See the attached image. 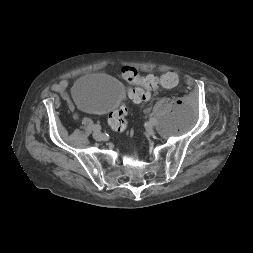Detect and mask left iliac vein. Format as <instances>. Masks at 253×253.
Returning <instances> with one entry per match:
<instances>
[{
	"instance_id": "left-iliac-vein-1",
	"label": "left iliac vein",
	"mask_w": 253,
	"mask_h": 253,
	"mask_svg": "<svg viewBox=\"0 0 253 253\" xmlns=\"http://www.w3.org/2000/svg\"><path fill=\"white\" fill-rule=\"evenodd\" d=\"M146 132H147L150 136H153V135H154V129L152 128V125H151V124H150L149 126H147Z\"/></svg>"
}]
</instances>
